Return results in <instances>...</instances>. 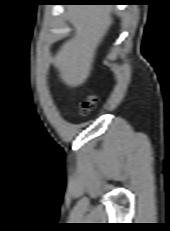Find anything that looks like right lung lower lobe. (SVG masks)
Instances as JSON below:
<instances>
[{
  "label": "right lung lower lobe",
  "instance_id": "obj_1",
  "mask_svg": "<svg viewBox=\"0 0 170 231\" xmlns=\"http://www.w3.org/2000/svg\"><path fill=\"white\" fill-rule=\"evenodd\" d=\"M59 2L76 1L78 3H112L118 0H58Z\"/></svg>",
  "mask_w": 170,
  "mask_h": 231
}]
</instances>
